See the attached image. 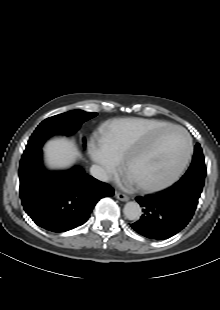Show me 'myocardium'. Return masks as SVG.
I'll use <instances>...</instances> for the list:
<instances>
[{"label":"myocardium","mask_w":220,"mask_h":310,"mask_svg":"<svg viewBox=\"0 0 220 310\" xmlns=\"http://www.w3.org/2000/svg\"><path fill=\"white\" fill-rule=\"evenodd\" d=\"M166 131H177V132L182 133L185 136L187 146H186V152H185L184 158L181 164L179 165V167L177 168V170L170 177H168L166 180L162 182H159V183H156L150 186H141L140 188L143 191H156V190L164 189L170 186L171 184H173L178 179V177L180 176V174L182 173V171L184 170V168L186 167L190 159L191 152H192V138L189 135V133L185 129L178 127V126H173V125L166 126L165 128L159 130L158 133H165ZM135 155H136V149L129 152L123 159L122 168L125 172H128V168L130 164L132 163V161L134 160Z\"/></svg>","instance_id":"1"}]
</instances>
